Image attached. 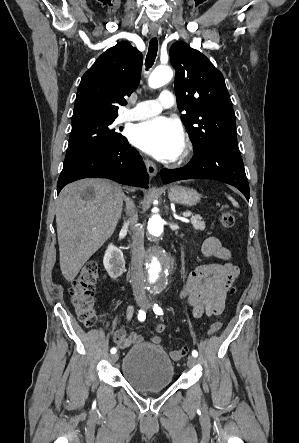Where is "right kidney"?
Masks as SVG:
<instances>
[{
	"label": "right kidney",
	"mask_w": 299,
	"mask_h": 443,
	"mask_svg": "<svg viewBox=\"0 0 299 443\" xmlns=\"http://www.w3.org/2000/svg\"><path fill=\"white\" fill-rule=\"evenodd\" d=\"M103 264L112 279L121 276L125 270V259L122 251L110 244L105 251Z\"/></svg>",
	"instance_id": "right-kidney-1"
}]
</instances>
